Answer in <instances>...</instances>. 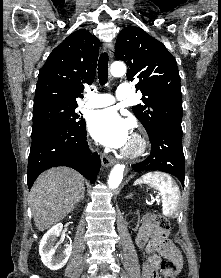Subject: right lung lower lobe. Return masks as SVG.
Instances as JSON below:
<instances>
[{
  "instance_id": "right-lung-lower-lobe-1",
  "label": "right lung lower lobe",
  "mask_w": 221,
  "mask_h": 278,
  "mask_svg": "<svg viewBox=\"0 0 221 278\" xmlns=\"http://www.w3.org/2000/svg\"><path fill=\"white\" fill-rule=\"evenodd\" d=\"M86 134L84 123L76 129L48 130L33 137L28 159V188L41 172L55 166L72 167L93 183L101 163L97 153L90 155Z\"/></svg>"
}]
</instances>
